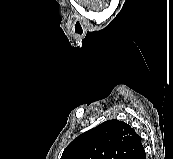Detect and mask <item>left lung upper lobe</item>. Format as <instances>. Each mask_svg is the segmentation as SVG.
<instances>
[{"label": "left lung upper lobe", "mask_w": 173, "mask_h": 159, "mask_svg": "<svg viewBox=\"0 0 173 159\" xmlns=\"http://www.w3.org/2000/svg\"><path fill=\"white\" fill-rule=\"evenodd\" d=\"M142 147L140 136L128 124L108 120L78 136L61 159H133Z\"/></svg>", "instance_id": "5c2ea615"}]
</instances>
